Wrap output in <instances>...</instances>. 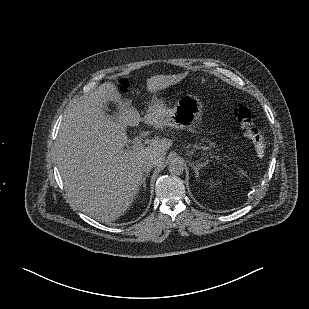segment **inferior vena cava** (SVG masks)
Returning <instances> with one entry per match:
<instances>
[{
	"mask_svg": "<svg viewBox=\"0 0 309 309\" xmlns=\"http://www.w3.org/2000/svg\"><path fill=\"white\" fill-rule=\"evenodd\" d=\"M155 164H153L152 162H148L143 166V170L147 173L151 170L152 167H154Z\"/></svg>",
	"mask_w": 309,
	"mask_h": 309,
	"instance_id": "1",
	"label": "inferior vena cava"
}]
</instances>
